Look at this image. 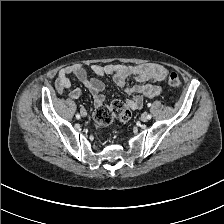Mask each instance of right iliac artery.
I'll return each mask as SVG.
<instances>
[{
	"mask_svg": "<svg viewBox=\"0 0 224 224\" xmlns=\"http://www.w3.org/2000/svg\"><path fill=\"white\" fill-rule=\"evenodd\" d=\"M76 118L80 119V114L79 113L76 114Z\"/></svg>",
	"mask_w": 224,
	"mask_h": 224,
	"instance_id": "right-iliac-artery-1",
	"label": "right iliac artery"
}]
</instances>
